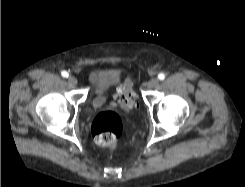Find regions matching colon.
I'll use <instances>...</instances> for the list:
<instances>
[{"label":"colon","instance_id":"colon-1","mask_svg":"<svg viewBox=\"0 0 245 187\" xmlns=\"http://www.w3.org/2000/svg\"><path fill=\"white\" fill-rule=\"evenodd\" d=\"M116 101L121 108L127 111L135 106L131 79L126 78L118 88ZM122 130V120L114 112H101L92 123V135L95 142L111 150L115 149Z\"/></svg>","mask_w":245,"mask_h":187}]
</instances>
